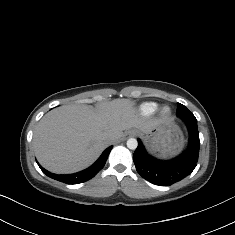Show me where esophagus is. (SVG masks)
<instances>
[{"label": "esophagus", "mask_w": 235, "mask_h": 235, "mask_svg": "<svg viewBox=\"0 0 235 235\" xmlns=\"http://www.w3.org/2000/svg\"><path fill=\"white\" fill-rule=\"evenodd\" d=\"M136 135L135 131L134 130H128L125 132L124 136H123V139L126 140L130 137H134Z\"/></svg>", "instance_id": "esophagus-1"}]
</instances>
